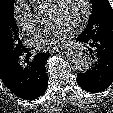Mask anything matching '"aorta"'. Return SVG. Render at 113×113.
Instances as JSON below:
<instances>
[{"mask_svg":"<svg viewBox=\"0 0 113 113\" xmlns=\"http://www.w3.org/2000/svg\"><path fill=\"white\" fill-rule=\"evenodd\" d=\"M48 14L45 11H38L37 17L44 21L47 19ZM72 64L75 70L79 72H86L92 65V58L84 52H77L72 57Z\"/></svg>","mask_w":113,"mask_h":113,"instance_id":"762f6f07","label":"aorta"}]
</instances>
